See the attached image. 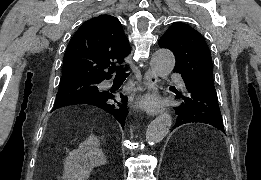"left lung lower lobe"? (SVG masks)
<instances>
[{
    "label": "left lung lower lobe",
    "instance_id": "obj_1",
    "mask_svg": "<svg viewBox=\"0 0 261 180\" xmlns=\"http://www.w3.org/2000/svg\"><path fill=\"white\" fill-rule=\"evenodd\" d=\"M182 78L185 90L176 93L180 104L174 108L177 116L174 128L191 122H201L224 132L216 92L205 89L189 76L182 75Z\"/></svg>",
    "mask_w": 261,
    "mask_h": 180
}]
</instances>
